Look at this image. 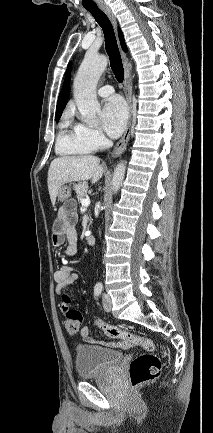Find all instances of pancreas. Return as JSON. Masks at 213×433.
<instances>
[{
	"instance_id": "cf45deb5",
	"label": "pancreas",
	"mask_w": 213,
	"mask_h": 433,
	"mask_svg": "<svg viewBox=\"0 0 213 433\" xmlns=\"http://www.w3.org/2000/svg\"><path fill=\"white\" fill-rule=\"evenodd\" d=\"M73 189L76 192L78 201H81L83 198L87 197L88 184L86 182L74 184Z\"/></svg>"
}]
</instances>
